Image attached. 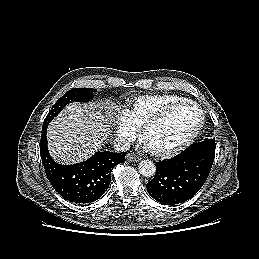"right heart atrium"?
Masks as SVG:
<instances>
[{
	"label": "right heart atrium",
	"instance_id": "right-heart-atrium-1",
	"mask_svg": "<svg viewBox=\"0 0 259 259\" xmlns=\"http://www.w3.org/2000/svg\"><path fill=\"white\" fill-rule=\"evenodd\" d=\"M118 139L124 143L133 140L137 134V128L131 123L126 113L118 110L112 120Z\"/></svg>",
	"mask_w": 259,
	"mask_h": 259
}]
</instances>
